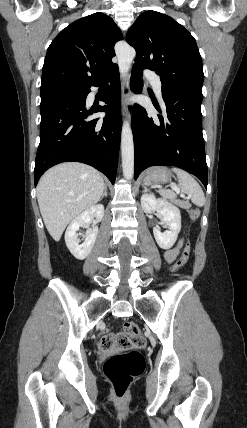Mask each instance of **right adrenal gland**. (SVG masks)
I'll return each mask as SVG.
<instances>
[{"label":"right adrenal gland","mask_w":247,"mask_h":428,"mask_svg":"<svg viewBox=\"0 0 247 428\" xmlns=\"http://www.w3.org/2000/svg\"><path fill=\"white\" fill-rule=\"evenodd\" d=\"M105 196H107V186L104 185V193L102 194L100 200H102Z\"/></svg>","instance_id":"obj_1"}]
</instances>
